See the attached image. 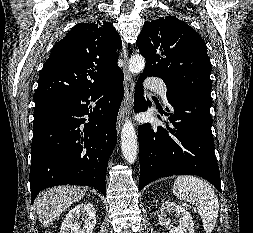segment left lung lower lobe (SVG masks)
<instances>
[{
	"mask_svg": "<svg viewBox=\"0 0 253 233\" xmlns=\"http://www.w3.org/2000/svg\"><path fill=\"white\" fill-rule=\"evenodd\" d=\"M146 77L141 74L136 84L135 112L146 111L152 105L142 95V82ZM169 103L171 110L167 108V112L160 113L167 116L170 125L139 126V190L158 178L190 174L208 180L221 192L211 132V98L189 95Z\"/></svg>",
	"mask_w": 253,
	"mask_h": 233,
	"instance_id": "1",
	"label": "left lung lower lobe"
}]
</instances>
